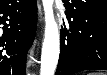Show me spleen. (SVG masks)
I'll use <instances>...</instances> for the list:
<instances>
[{
    "instance_id": "obj_1",
    "label": "spleen",
    "mask_w": 107,
    "mask_h": 75,
    "mask_svg": "<svg viewBox=\"0 0 107 75\" xmlns=\"http://www.w3.org/2000/svg\"><path fill=\"white\" fill-rule=\"evenodd\" d=\"M88 75H100L99 73H89Z\"/></svg>"
}]
</instances>
